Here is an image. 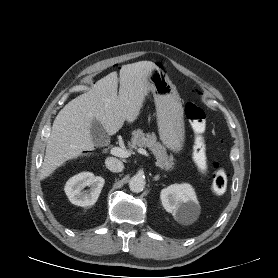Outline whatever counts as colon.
<instances>
[{
	"instance_id": "obj_1",
	"label": "colon",
	"mask_w": 278,
	"mask_h": 278,
	"mask_svg": "<svg viewBox=\"0 0 278 278\" xmlns=\"http://www.w3.org/2000/svg\"><path fill=\"white\" fill-rule=\"evenodd\" d=\"M185 114L188 118L194 133L193 155L197 163L202 164L206 160V113L198 102L190 100L186 103ZM227 173L223 165L219 162L214 166L212 181L210 185L211 192L220 196L226 191Z\"/></svg>"
}]
</instances>
